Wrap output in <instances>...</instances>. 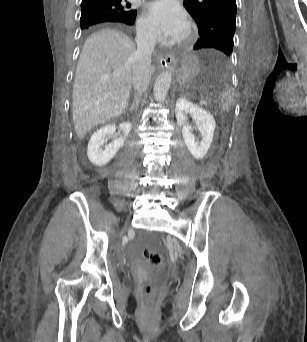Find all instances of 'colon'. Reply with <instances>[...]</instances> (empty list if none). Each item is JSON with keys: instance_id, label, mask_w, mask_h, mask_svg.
I'll list each match as a JSON object with an SVG mask.
<instances>
[{"instance_id": "colon-1", "label": "colon", "mask_w": 307, "mask_h": 342, "mask_svg": "<svg viewBox=\"0 0 307 342\" xmlns=\"http://www.w3.org/2000/svg\"><path fill=\"white\" fill-rule=\"evenodd\" d=\"M143 256L147 261L151 263L152 268H165L166 262L162 261V257L159 253L148 249H143ZM145 294H142V301L144 307H155L156 305V294H153L152 288H159V281H146Z\"/></svg>"}]
</instances>
